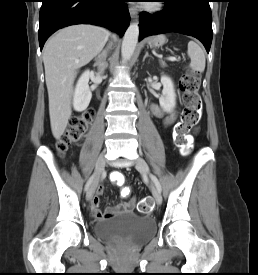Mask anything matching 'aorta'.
<instances>
[{
    "mask_svg": "<svg viewBox=\"0 0 258 275\" xmlns=\"http://www.w3.org/2000/svg\"><path fill=\"white\" fill-rule=\"evenodd\" d=\"M139 37V26L132 23L126 30L121 47L122 61L127 62L132 57Z\"/></svg>",
    "mask_w": 258,
    "mask_h": 275,
    "instance_id": "obj_1",
    "label": "aorta"
}]
</instances>
